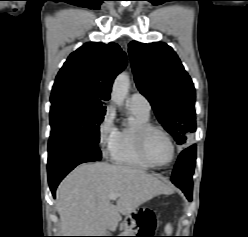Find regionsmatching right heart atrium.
<instances>
[{
	"label": "right heart atrium",
	"mask_w": 248,
	"mask_h": 237,
	"mask_svg": "<svg viewBox=\"0 0 248 237\" xmlns=\"http://www.w3.org/2000/svg\"><path fill=\"white\" fill-rule=\"evenodd\" d=\"M118 129L114 124L113 112L110 107L106 108L97 127V141L101 153L109 157L115 150Z\"/></svg>",
	"instance_id": "right-heart-atrium-1"
}]
</instances>
